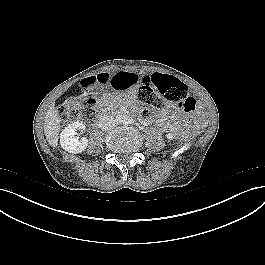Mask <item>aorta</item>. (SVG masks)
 <instances>
[{"mask_svg": "<svg viewBox=\"0 0 265 265\" xmlns=\"http://www.w3.org/2000/svg\"><path fill=\"white\" fill-rule=\"evenodd\" d=\"M116 121H117V122H122V121H123V118L120 117V116H118V117L116 118Z\"/></svg>", "mask_w": 265, "mask_h": 265, "instance_id": "762f6f07", "label": "aorta"}]
</instances>
